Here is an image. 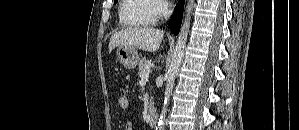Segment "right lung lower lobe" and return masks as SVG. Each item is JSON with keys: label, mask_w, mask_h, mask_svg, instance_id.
I'll list each match as a JSON object with an SVG mask.
<instances>
[{"label": "right lung lower lobe", "mask_w": 299, "mask_h": 130, "mask_svg": "<svg viewBox=\"0 0 299 130\" xmlns=\"http://www.w3.org/2000/svg\"><path fill=\"white\" fill-rule=\"evenodd\" d=\"M185 0H179L178 4L174 9V13L171 17L169 28L174 35H177L179 32L180 24L182 21L183 7Z\"/></svg>", "instance_id": "1"}]
</instances>
